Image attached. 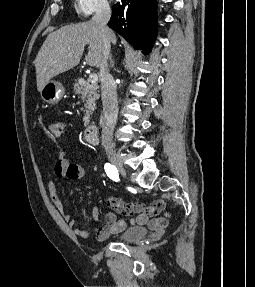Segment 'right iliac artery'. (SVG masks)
Returning <instances> with one entry per match:
<instances>
[{"label": "right iliac artery", "instance_id": "right-iliac-artery-1", "mask_svg": "<svg viewBox=\"0 0 255 287\" xmlns=\"http://www.w3.org/2000/svg\"><path fill=\"white\" fill-rule=\"evenodd\" d=\"M104 169H105L107 176L111 180L116 181V182L119 181V173H118L117 168L114 165L110 163H106L104 166Z\"/></svg>", "mask_w": 255, "mask_h": 287}]
</instances>
